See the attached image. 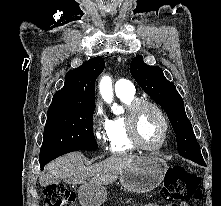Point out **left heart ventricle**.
<instances>
[{
    "label": "left heart ventricle",
    "mask_w": 221,
    "mask_h": 206,
    "mask_svg": "<svg viewBox=\"0 0 221 206\" xmlns=\"http://www.w3.org/2000/svg\"><path fill=\"white\" fill-rule=\"evenodd\" d=\"M138 130L141 140L146 145H156L163 136V123L159 115L151 108L143 107L137 117Z\"/></svg>",
    "instance_id": "obj_1"
}]
</instances>
